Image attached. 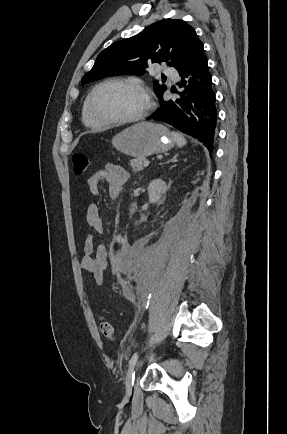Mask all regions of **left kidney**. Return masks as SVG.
<instances>
[{"mask_svg":"<svg viewBox=\"0 0 287 434\" xmlns=\"http://www.w3.org/2000/svg\"><path fill=\"white\" fill-rule=\"evenodd\" d=\"M166 191L167 186L165 182L160 179H155L151 181L148 186L149 202H158L161 198V195L164 194Z\"/></svg>","mask_w":287,"mask_h":434,"instance_id":"obj_1","label":"left kidney"}]
</instances>
